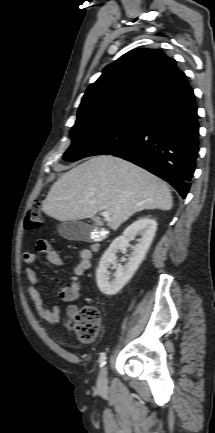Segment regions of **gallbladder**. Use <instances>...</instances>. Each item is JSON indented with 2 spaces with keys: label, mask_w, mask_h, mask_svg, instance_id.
Instances as JSON below:
<instances>
[{
  "label": "gallbladder",
  "mask_w": 215,
  "mask_h": 433,
  "mask_svg": "<svg viewBox=\"0 0 215 433\" xmlns=\"http://www.w3.org/2000/svg\"><path fill=\"white\" fill-rule=\"evenodd\" d=\"M61 237L71 241H88L90 240L91 227L78 220L63 222L57 227Z\"/></svg>",
  "instance_id": "obj_1"
}]
</instances>
